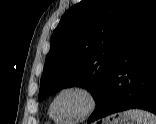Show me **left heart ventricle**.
<instances>
[{"mask_svg": "<svg viewBox=\"0 0 156 124\" xmlns=\"http://www.w3.org/2000/svg\"><path fill=\"white\" fill-rule=\"evenodd\" d=\"M87 96L79 91L63 93L55 102L54 114L60 119H73L81 116L88 108Z\"/></svg>", "mask_w": 156, "mask_h": 124, "instance_id": "b2bd125f", "label": "left heart ventricle"}]
</instances>
